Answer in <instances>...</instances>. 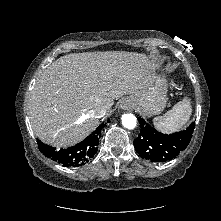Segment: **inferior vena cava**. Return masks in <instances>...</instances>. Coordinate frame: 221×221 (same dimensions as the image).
<instances>
[{"label":"inferior vena cava","mask_w":221,"mask_h":221,"mask_svg":"<svg viewBox=\"0 0 221 221\" xmlns=\"http://www.w3.org/2000/svg\"><path fill=\"white\" fill-rule=\"evenodd\" d=\"M106 108L104 107H99L97 108L95 111H94V115L97 117V118H101L103 116H105L106 114Z\"/></svg>","instance_id":"1"}]
</instances>
